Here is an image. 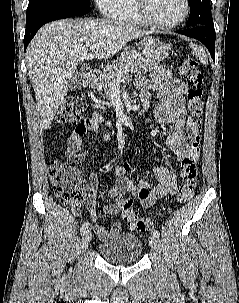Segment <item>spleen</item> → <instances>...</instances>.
<instances>
[{"instance_id":"1","label":"spleen","mask_w":239,"mask_h":303,"mask_svg":"<svg viewBox=\"0 0 239 303\" xmlns=\"http://www.w3.org/2000/svg\"><path fill=\"white\" fill-rule=\"evenodd\" d=\"M190 47L192 49L193 55H195L202 64L207 65L208 57L205 50L201 46L193 43L190 44Z\"/></svg>"}]
</instances>
